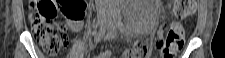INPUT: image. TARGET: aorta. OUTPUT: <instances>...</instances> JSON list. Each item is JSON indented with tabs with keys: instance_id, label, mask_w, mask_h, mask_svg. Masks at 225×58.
Here are the masks:
<instances>
[{
	"instance_id": "1",
	"label": "aorta",
	"mask_w": 225,
	"mask_h": 58,
	"mask_svg": "<svg viewBox=\"0 0 225 58\" xmlns=\"http://www.w3.org/2000/svg\"><path fill=\"white\" fill-rule=\"evenodd\" d=\"M115 0H110V4H109V10L113 15L118 14V6L115 3Z\"/></svg>"
}]
</instances>
